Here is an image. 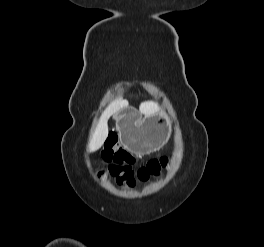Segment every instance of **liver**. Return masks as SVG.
I'll return each instance as SVG.
<instances>
[{
	"instance_id": "liver-1",
	"label": "liver",
	"mask_w": 264,
	"mask_h": 247,
	"mask_svg": "<svg viewBox=\"0 0 264 247\" xmlns=\"http://www.w3.org/2000/svg\"><path fill=\"white\" fill-rule=\"evenodd\" d=\"M128 106V101L123 99H117L112 102L106 111L103 113L97 128L91 134L89 144H88V152H93L98 150L103 143L105 142L108 136V126H107V118L109 115L116 113L117 111ZM159 106L154 102H144L140 105V112L145 115H152L158 112Z\"/></svg>"
}]
</instances>
